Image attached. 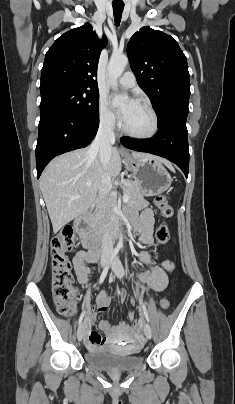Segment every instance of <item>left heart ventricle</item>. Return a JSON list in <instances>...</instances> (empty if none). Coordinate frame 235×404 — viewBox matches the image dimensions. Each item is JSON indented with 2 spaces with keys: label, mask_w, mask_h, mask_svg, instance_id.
I'll use <instances>...</instances> for the list:
<instances>
[{
  "label": "left heart ventricle",
  "mask_w": 235,
  "mask_h": 404,
  "mask_svg": "<svg viewBox=\"0 0 235 404\" xmlns=\"http://www.w3.org/2000/svg\"><path fill=\"white\" fill-rule=\"evenodd\" d=\"M123 123L128 130L134 133L144 134L150 131L152 118L150 113L137 103Z\"/></svg>",
  "instance_id": "1"
}]
</instances>
